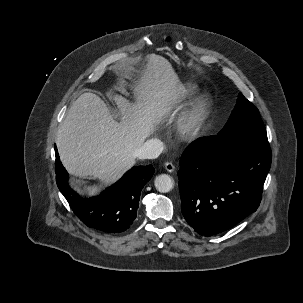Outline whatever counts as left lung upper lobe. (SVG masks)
<instances>
[{
    "instance_id": "5c2ea615",
    "label": "left lung upper lobe",
    "mask_w": 303,
    "mask_h": 303,
    "mask_svg": "<svg viewBox=\"0 0 303 303\" xmlns=\"http://www.w3.org/2000/svg\"><path fill=\"white\" fill-rule=\"evenodd\" d=\"M229 135L243 136L257 143L269 145L266 129L258 109L242 93L239 94L236 107L228 122L217 136Z\"/></svg>"
}]
</instances>
